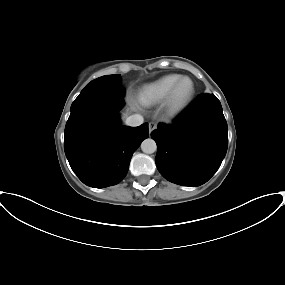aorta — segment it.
I'll return each mask as SVG.
<instances>
[{
  "label": "aorta",
  "instance_id": "1",
  "mask_svg": "<svg viewBox=\"0 0 285 285\" xmlns=\"http://www.w3.org/2000/svg\"><path fill=\"white\" fill-rule=\"evenodd\" d=\"M157 145L155 141L151 138L145 139L141 143V150L146 154H152L156 151Z\"/></svg>",
  "mask_w": 285,
  "mask_h": 285
}]
</instances>
